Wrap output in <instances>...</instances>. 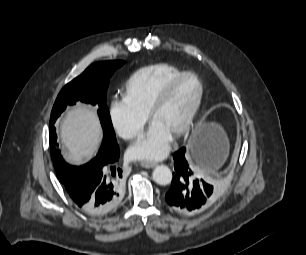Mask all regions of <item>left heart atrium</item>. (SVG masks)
I'll return each instance as SVG.
<instances>
[{"mask_svg":"<svg viewBox=\"0 0 306 255\" xmlns=\"http://www.w3.org/2000/svg\"><path fill=\"white\" fill-rule=\"evenodd\" d=\"M173 134L152 122L147 133L128 150L132 159L158 160L167 155L171 148Z\"/></svg>","mask_w":306,"mask_h":255,"instance_id":"39dd6f15","label":"left heart atrium"}]
</instances>
